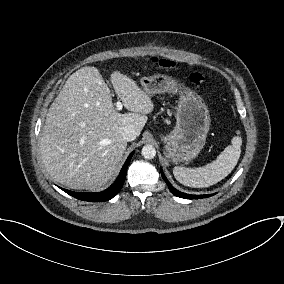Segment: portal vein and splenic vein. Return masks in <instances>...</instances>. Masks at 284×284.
<instances>
[{"instance_id":"1","label":"portal vein and splenic vein","mask_w":284,"mask_h":284,"mask_svg":"<svg viewBox=\"0 0 284 284\" xmlns=\"http://www.w3.org/2000/svg\"><path fill=\"white\" fill-rule=\"evenodd\" d=\"M122 108H123L122 103L120 101H117L116 102V110L120 111V110H122Z\"/></svg>"}]
</instances>
